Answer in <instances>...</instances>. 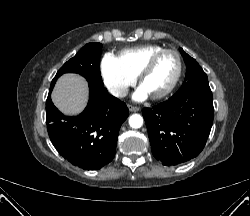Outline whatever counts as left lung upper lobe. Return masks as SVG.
I'll list each match as a JSON object with an SVG mask.
<instances>
[{
    "label": "left lung upper lobe",
    "instance_id": "1",
    "mask_svg": "<svg viewBox=\"0 0 250 216\" xmlns=\"http://www.w3.org/2000/svg\"><path fill=\"white\" fill-rule=\"evenodd\" d=\"M186 64V76L181 88L172 98H181L194 94L212 95L206 73L195 59L190 57L182 48L179 49Z\"/></svg>",
    "mask_w": 250,
    "mask_h": 216
}]
</instances>
